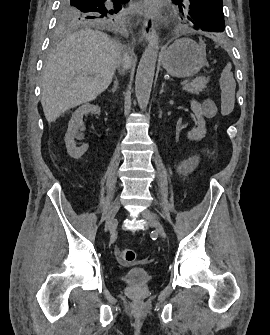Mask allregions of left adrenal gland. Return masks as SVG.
Returning <instances> with one entry per match:
<instances>
[{
    "label": "left adrenal gland",
    "instance_id": "obj_1",
    "mask_svg": "<svg viewBox=\"0 0 270 335\" xmlns=\"http://www.w3.org/2000/svg\"><path fill=\"white\" fill-rule=\"evenodd\" d=\"M164 86H165V82H163V84H162V88L160 90V94H163V92H164Z\"/></svg>",
    "mask_w": 270,
    "mask_h": 335
}]
</instances>
